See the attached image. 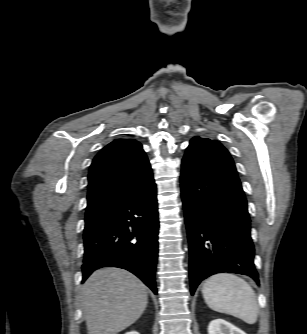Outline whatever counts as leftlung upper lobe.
I'll return each instance as SVG.
<instances>
[{
  "label": "left lung upper lobe",
  "mask_w": 307,
  "mask_h": 334,
  "mask_svg": "<svg viewBox=\"0 0 307 334\" xmlns=\"http://www.w3.org/2000/svg\"><path fill=\"white\" fill-rule=\"evenodd\" d=\"M182 169L240 182L233 159L217 140L192 138L182 160Z\"/></svg>",
  "instance_id": "5c2ea615"
}]
</instances>
